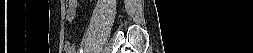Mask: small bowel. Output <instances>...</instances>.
<instances>
[{
    "instance_id": "1",
    "label": "small bowel",
    "mask_w": 253,
    "mask_h": 53,
    "mask_svg": "<svg viewBox=\"0 0 253 53\" xmlns=\"http://www.w3.org/2000/svg\"><path fill=\"white\" fill-rule=\"evenodd\" d=\"M68 3H69V9H68L67 19L68 21L72 22L74 21L75 15H76V10H75L76 0H70L68 1ZM64 48L67 53H76V44L74 42L66 41L64 44Z\"/></svg>"
}]
</instances>
